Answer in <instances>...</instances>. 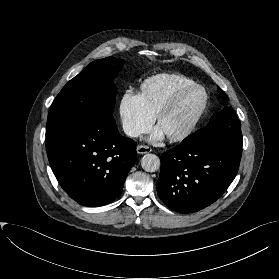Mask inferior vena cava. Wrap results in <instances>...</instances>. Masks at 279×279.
Here are the masks:
<instances>
[{"label": "inferior vena cava", "mask_w": 279, "mask_h": 279, "mask_svg": "<svg viewBox=\"0 0 279 279\" xmlns=\"http://www.w3.org/2000/svg\"><path fill=\"white\" fill-rule=\"evenodd\" d=\"M124 132L131 137H138L140 135V131L133 126L124 127Z\"/></svg>", "instance_id": "1"}]
</instances>
